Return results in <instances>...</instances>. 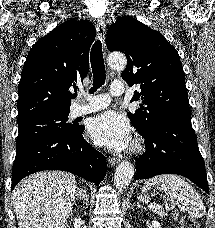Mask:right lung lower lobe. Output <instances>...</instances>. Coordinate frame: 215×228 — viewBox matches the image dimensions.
Returning a JSON list of instances; mask_svg holds the SVG:
<instances>
[{"instance_id": "obj_1", "label": "right lung lower lobe", "mask_w": 215, "mask_h": 228, "mask_svg": "<svg viewBox=\"0 0 215 228\" xmlns=\"http://www.w3.org/2000/svg\"><path fill=\"white\" fill-rule=\"evenodd\" d=\"M80 127L72 135L48 133L16 144L11 189L42 170L68 171L99 185L107 170L106 159L84 140V126Z\"/></svg>"}]
</instances>
